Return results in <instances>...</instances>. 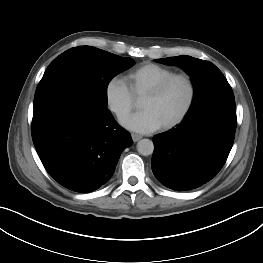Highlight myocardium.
I'll return each mask as SVG.
<instances>
[{"mask_svg": "<svg viewBox=\"0 0 263 263\" xmlns=\"http://www.w3.org/2000/svg\"><path fill=\"white\" fill-rule=\"evenodd\" d=\"M177 79H181L186 82L189 91L188 99L182 110L173 119L162 125L163 129H170L179 124L191 110L196 97V86L193 78L187 73H173L156 83L143 95V97H157L168 87L171 82Z\"/></svg>", "mask_w": 263, "mask_h": 263, "instance_id": "1", "label": "myocardium"}]
</instances>
